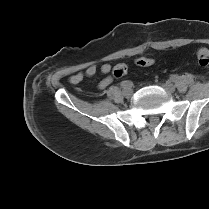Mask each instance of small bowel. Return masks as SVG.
<instances>
[{"label": "small bowel", "instance_id": "small-bowel-1", "mask_svg": "<svg viewBox=\"0 0 209 209\" xmlns=\"http://www.w3.org/2000/svg\"><path fill=\"white\" fill-rule=\"evenodd\" d=\"M110 70H111L110 64H104V65L101 67V71H102L103 73H105V74H106V73H109ZM95 73H96V68H95L94 66H91V67H89V68L87 69V71H86V76L91 77V76H93ZM108 84H109V79H105V80H103V81L100 83L99 88H100V89H104L105 87H107Z\"/></svg>", "mask_w": 209, "mask_h": 209}]
</instances>
